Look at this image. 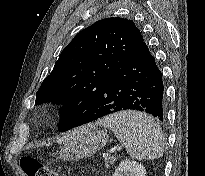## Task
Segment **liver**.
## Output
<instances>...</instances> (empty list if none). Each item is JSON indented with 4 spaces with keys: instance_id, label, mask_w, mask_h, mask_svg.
<instances>
[{
    "instance_id": "obj_1",
    "label": "liver",
    "mask_w": 205,
    "mask_h": 176,
    "mask_svg": "<svg viewBox=\"0 0 205 176\" xmlns=\"http://www.w3.org/2000/svg\"><path fill=\"white\" fill-rule=\"evenodd\" d=\"M84 130H85V126L81 127V128L74 129L73 131L67 133L64 137L60 138L59 142L66 143V142L70 141L71 139L76 138Z\"/></svg>"
}]
</instances>
